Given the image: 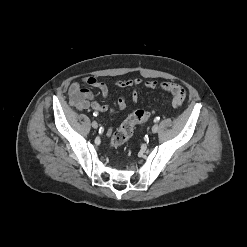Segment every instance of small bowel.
Returning a JSON list of instances; mask_svg holds the SVG:
<instances>
[{
    "instance_id": "small-bowel-1",
    "label": "small bowel",
    "mask_w": 247,
    "mask_h": 247,
    "mask_svg": "<svg viewBox=\"0 0 247 247\" xmlns=\"http://www.w3.org/2000/svg\"><path fill=\"white\" fill-rule=\"evenodd\" d=\"M83 82L92 88L99 89L103 98H108L109 88L108 85L95 77H85ZM115 85L122 88H132L131 99L134 103L138 102L139 94L137 87L144 86L146 88L155 89L161 88L164 91L169 92L172 95L171 106L173 108L180 107L186 97L184 88L174 82L165 81L158 82L157 80H146L142 78L128 79V80H117ZM70 104L78 109L79 111H85L92 109L95 112H109L113 113L115 108L108 104H100L95 100L94 94L87 88L83 87L80 83H73L68 91ZM126 108V99L121 96L118 99L117 110H124Z\"/></svg>"
}]
</instances>
